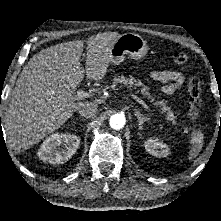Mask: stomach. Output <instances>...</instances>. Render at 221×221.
<instances>
[{"label": "stomach", "instance_id": "1", "mask_svg": "<svg viewBox=\"0 0 221 221\" xmlns=\"http://www.w3.org/2000/svg\"><path fill=\"white\" fill-rule=\"evenodd\" d=\"M148 46L142 36L135 33L120 35L110 49V62L119 65L130 56L133 59H140L147 54Z\"/></svg>", "mask_w": 221, "mask_h": 221}]
</instances>
